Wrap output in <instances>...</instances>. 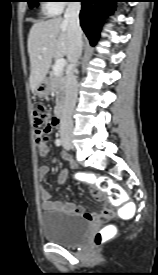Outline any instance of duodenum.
Here are the masks:
<instances>
[{
  "mask_svg": "<svg viewBox=\"0 0 158 275\" xmlns=\"http://www.w3.org/2000/svg\"><path fill=\"white\" fill-rule=\"evenodd\" d=\"M64 116V103L63 101L61 100L57 106V109H56V119L58 122H60V120H62Z\"/></svg>",
  "mask_w": 158,
  "mask_h": 275,
  "instance_id": "obj_1",
  "label": "duodenum"
}]
</instances>
